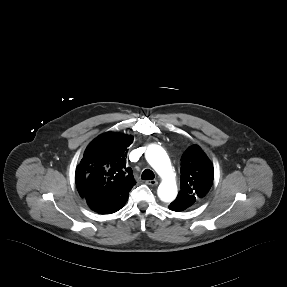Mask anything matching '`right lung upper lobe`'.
<instances>
[{
  "label": "right lung upper lobe",
  "mask_w": 287,
  "mask_h": 287,
  "mask_svg": "<svg viewBox=\"0 0 287 287\" xmlns=\"http://www.w3.org/2000/svg\"><path fill=\"white\" fill-rule=\"evenodd\" d=\"M132 142L131 135L106 132L88 145L75 173L81 197L132 189L136 182L125 158Z\"/></svg>",
  "instance_id": "obj_1"
}]
</instances>
